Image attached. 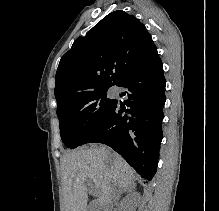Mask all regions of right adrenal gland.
I'll list each match as a JSON object with an SVG mask.
<instances>
[{
    "mask_svg": "<svg viewBox=\"0 0 219 211\" xmlns=\"http://www.w3.org/2000/svg\"><path fill=\"white\" fill-rule=\"evenodd\" d=\"M121 193H128V195H131V193H136L135 187H126V189H123Z\"/></svg>",
    "mask_w": 219,
    "mask_h": 211,
    "instance_id": "1",
    "label": "right adrenal gland"
}]
</instances>
